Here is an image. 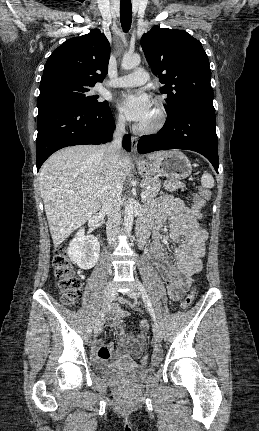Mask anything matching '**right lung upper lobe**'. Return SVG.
Here are the masks:
<instances>
[{
	"label": "right lung upper lobe",
	"instance_id": "1",
	"mask_svg": "<svg viewBox=\"0 0 259 431\" xmlns=\"http://www.w3.org/2000/svg\"><path fill=\"white\" fill-rule=\"evenodd\" d=\"M110 44L98 29L66 40L49 56L40 82L67 81L81 87H94L107 74ZM40 96V95H39Z\"/></svg>",
	"mask_w": 259,
	"mask_h": 431
}]
</instances>
